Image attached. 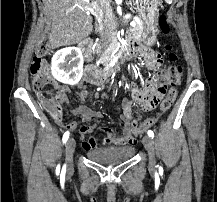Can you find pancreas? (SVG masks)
I'll return each instance as SVG.
<instances>
[{
    "label": "pancreas",
    "instance_id": "pancreas-1",
    "mask_svg": "<svg viewBox=\"0 0 217 202\" xmlns=\"http://www.w3.org/2000/svg\"><path fill=\"white\" fill-rule=\"evenodd\" d=\"M130 32L132 36L139 41L141 39L139 36L143 32V28L142 26H139V24H136L135 28H130ZM112 40L113 42H117L115 34H113Z\"/></svg>",
    "mask_w": 217,
    "mask_h": 202
}]
</instances>
